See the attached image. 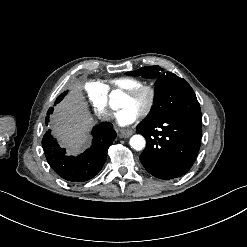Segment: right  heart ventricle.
Returning <instances> with one entry per match:
<instances>
[{
  "label": "right heart ventricle",
  "mask_w": 247,
  "mask_h": 247,
  "mask_svg": "<svg viewBox=\"0 0 247 247\" xmlns=\"http://www.w3.org/2000/svg\"><path fill=\"white\" fill-rule=\"evenodd\" d=\"M115 84L124 91L130 92L141 86V82L132 78H123L115 82Z\"/></svg>",
  "instance_id": "obj_1"
}]
</instances>
